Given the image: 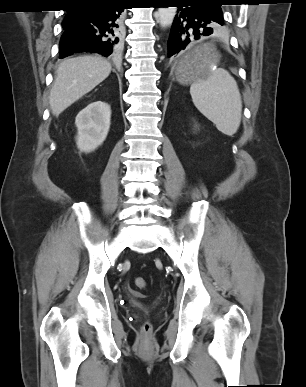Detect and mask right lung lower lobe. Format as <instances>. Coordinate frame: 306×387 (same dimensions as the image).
Segmentation results:
<instances>
[{
  "mask_svg": "<svg viewBox=\"0 0 306 387\" xmlns=\"http://www.w3.org/2000/svg\"><path fill=\"white\" fill-rule=\"evenodd\" d=\"M124 0L81 5L69 10L74 23L63 27L60 58L77 52L116 56L121 48Z\"/></svg>",
  "mask_w": 306,
  "mask_h": 387,
  "instance_id": "obj_1",
  "label": "right lung lower lobe"
}]
</instances>
